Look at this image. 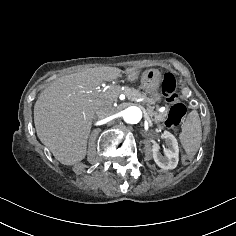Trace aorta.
Wrapping results in <instances>:
<instances>
[{"label":"aorta","mask_w":236,"mask_h":236,"mask_svg":"<svg viewBox=\"0 0 236 236\" xmlns=\"http://www.w3.org/2000/svg\"><path fill=\"white\" fill-rule=\"evenodd\" d=\"M122 117L128 124H137L141 121L143 112L137 106H130L122 111Z\"/></svg>","instance_id":"762f6f07"}]
</instances>
